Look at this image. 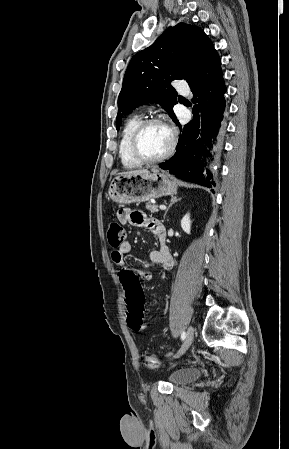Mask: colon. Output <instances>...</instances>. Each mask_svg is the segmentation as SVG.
I'll return each instance as SVG.
<instances>
[{
	"mask_svg": "<svg viewBox=\"0 0 289 449\" xmlns=\"http://www.w3.org/2000/svg\"><path fill=\"white\" fill-rule=\"evenodd\" d=\"M126 238L125 228L117 221H111L107 228L108 243L113 248H118L124 243ZM118 280L124 286L128 305V324L136 332L143 329V305L144 294L140 286L135 271L131 268H120L118 271ZM143 363L148 368H155L158 365V359L155 355L144 353L142 355Z\"/></svg>",
	"mask_w": 289,
	"mask_h": 449,
	"instance_id": "colon-1",
	"label": "colon"
}]
</instances>
